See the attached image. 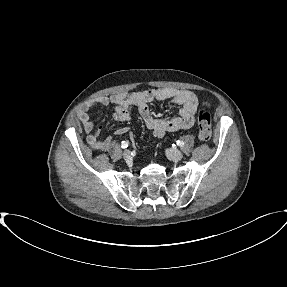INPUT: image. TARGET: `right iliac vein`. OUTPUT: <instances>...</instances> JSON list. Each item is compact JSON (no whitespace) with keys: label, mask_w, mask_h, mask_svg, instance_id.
Returning a JSON list of instances; mask_svg holds the SVG:
<instances>
[{"label":"right iliac vein","mask_w":287,"mask_h":287,"mask_svg":"<svg viewBox=\"0 0 287 287\" xmlns=\"http://www.w3.org/2000/svg\"><path fill=\"white\" fill-rule=\"evenodd\" d=\"M123 158L127 161L130 160L131 159V152L129 150H125L123 152Z\"/></svg>","instance_id":"63e3f726"}]
</instances>
